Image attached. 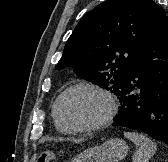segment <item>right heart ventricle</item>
<instances>
[{"instance_id": "1", "label": "right heart ventricle", "mask_w": 168, "mask_h": 162, "mask_svg": "<svg viewBox=\"0 0 168 162\" xmlns=\"http://www.w3.org/2000/svg\"><path fill=\"white\" fill-rule=\"evenodd\" d=\"M55 126L56 128L58 129V131L62 132V133H66L67 131H65L64 129H62L58 124L57 122L55 121Z\"/></svg>"}]
</instances>
